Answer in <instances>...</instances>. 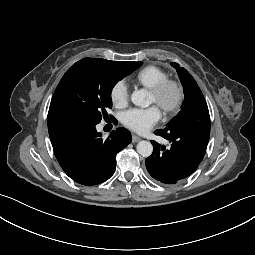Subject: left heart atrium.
Here are the masks:
<instances>
[{"mask_svg":"<svg viewBox=\"0 0 255 255\" xmlns=\"http://www.w3.org/2000/svg\"><path fill=\"white\" fill-rule=\"evenodd\" d=\"M161 119V111L157 106L149 108H132L122 114L123 125L137 133H145Z\"/></svg>","mask_w":255,"mask_h":255,"instance_id":"39dd6f15","label":"left heart atrium"}]
</instances>
